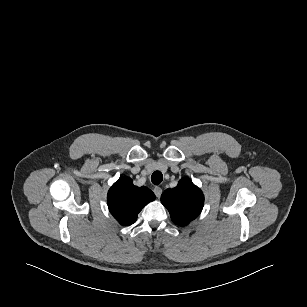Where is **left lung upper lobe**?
Listing matches in <instances>:
<instances>
[{
  "mask_svg": "<svg viewBox=\"0 0 307 307\" xmlns=\"http://www.w3.org/2000/svg\"><path fill=\"white\" fill-rule=\"evenodd\" d=\"M161 202L169 210L172 221L185 226L200 214L204 195L190 179L184 178L176 187L162 193Z\"/></svg>",
  "mask_w": 307,
  "mask_h": 307,
  "instance_id": "5c2ea615",
  "label": "left lung upper lobe"
}]
</instances>
